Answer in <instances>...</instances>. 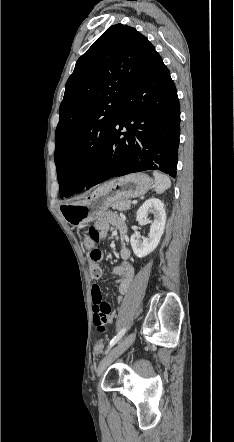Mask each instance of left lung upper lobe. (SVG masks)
Wrapping results in <instances>:
<instances>
[{"label": "left lung upper lobe", "instance_id": "obj_1", "mask_svg": "<svg viewBox=\"0 0 234 442\" xmlns=\"http://www.w3.org/2000/svg\"><path fill=\"white\" fill-rule=\"evenodd\" d=\"M154 52V46L135 28L116 24L76 62L55 133L61 197L86 186L104 153L125 93Z\"/></svg>", "mask_w": 234, "mask_h": 442}]
</instances>
